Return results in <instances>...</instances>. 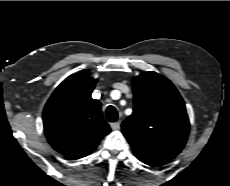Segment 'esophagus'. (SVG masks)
I'll return each mask as SVG.
<instances>
[{"mask_svg":"<svg viewBox=\"0 0 230 186\" xmlns=\"http://www.w3.org/2000/svg\"><path fill=\"white\" fill-rule=\"evenodd\" d=\"M110 126L113 130H118L120 129V122H113L110 124Z\"/></svg>","mask_w":230,"mask_h":186,"instance_id":"obj_1","label":"esophagus"}]
</instances>
